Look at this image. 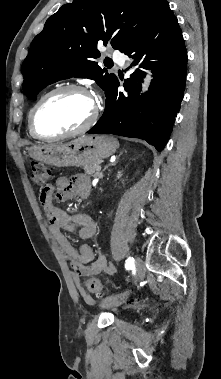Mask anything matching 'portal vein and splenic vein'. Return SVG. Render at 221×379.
<instances>
[{
	"mask_svg": "<svg viewBox=\"0 0 221 379\" xmlns=\"http://www.w3.org/2000/svg\"><path fill=\"white\" fill-rule=\"evenodd\" d=\"M100 169H101V167L99 166V167H98V170L100 171Z\"/></svg>",
	"mask_w": 221,
	"mask_h": 379,
	"instance_id": "portal-vein-and-splenic-vein-1",
	"label": "portal vein and splenic vein"
}]
</instances>
